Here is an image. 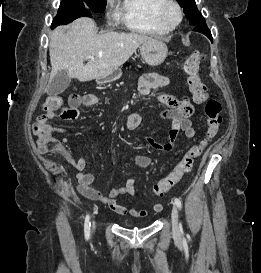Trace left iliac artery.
I'll use <instances>...</instances> for the list:
<instances>
[{
  "label": "left iliac artery",
  "instance_id": "obj_1",
  "mask_svg": "<svg viewBox=\"0 0 261 273\" xmlns=\"http://www.w3.org/2000/svg\"><path fill=\"white\" fill-rule=\"evenodd\" d=\"M174 202H175V205H176L179 209H181V207H182L181 201H180L178 198H174Z\"/></svg>",
  "mask_w": 261,
  "mask_h": 273
}]
</instances>
